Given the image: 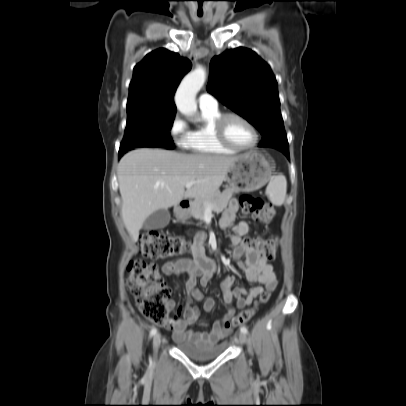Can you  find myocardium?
Returning <instances> with one entry per match:
<instances>
[{
    "mask_svg": "<svg viewBox=\"0 0 406 406\" xmlns=\"http://www.w3.org/2000/svg\"><path fill=\"white\" fill-rule=\"evenodd\" d=\"M230 118H236V119L242 121L244 124H246L251 129V131L254 135V141L250 146L238 147V146L232 144L228 140L226 131H225V126H226L227 121ZM214 132H215V136H216L218 142L221 145H223L224 147H226L228 149L234 150L236 152L249 151V150L255 148L259 142V133H258L256 127L254 126V124L249 119H247L245 116H243L239 113H236V112H226V113L221 114L215 121Z\"/></svg>",
    "mask_w": 406,
    "mask_h": 406,
    "instance_id": "1",
    "label": "myocardium"
}]
</instances>
